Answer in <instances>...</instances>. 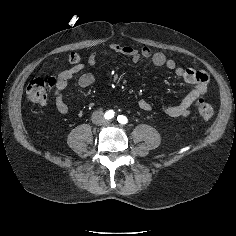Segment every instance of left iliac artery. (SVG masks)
Returning <instances> with one entry per match:
<instances>
[{
    "instance_id": "44dca946",
    "label": "left iliac artery",
    "mask_w": 236,
    "mask_h": 236,
    "mask_svg": "<svg viewBox=\"0 0 236 236\" xmlns=\"http://www.w3.org/2000/svg\"><path fill=\"white\" fill-rule=\"evenodd\" d=\"M117 121L121 124H126L128 122V119L124 115H118L117 116Z\"/></svg>"
}]
</instances>
